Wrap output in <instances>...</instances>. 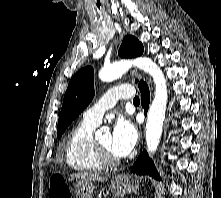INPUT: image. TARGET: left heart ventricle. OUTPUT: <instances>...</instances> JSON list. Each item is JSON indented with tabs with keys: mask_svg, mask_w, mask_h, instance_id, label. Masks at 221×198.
Returning a JSON list of instances; mask_svg holds the SVG:
<instances>
[{
	"mask_svg": "<svg viewBox=\"0 0 221 198\" xmlns=\"http://www.w3.org/2000/svg\"><path fill=\"white\" fill-rule=\"evenodd\" d=\"M98 142L106 148L109 152H111L113 155H115L111 149V134L110 133H104L99 139ZM116 156V155H115Z\"/></svg>",
	"mask_w": 221,
	"mask_h": 198,
	"instance_id": "1",
	"label": "left heart ventricle"
}]
</instances>
